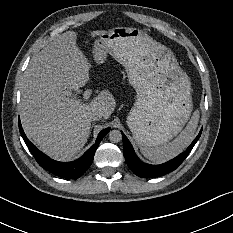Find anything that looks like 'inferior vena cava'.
<instances>
[{"label": "inferior vena cava", "instance_id": "obj_1", "mask_svg": "<svg viewBox=\"0 0 233 233\" xmlns=\"http://www.w3.org/2000/svg\"><path fill=\"white\" fill-rule=\"evenodd\" d=\"M102 114L99 111H94L90 114V120L91 121H98L102 118Z\"/></svg>", "mask_w": 233, "mask_h": 233}]
</instances>
